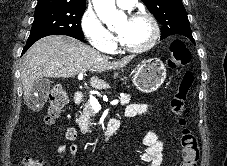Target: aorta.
Here are the masks:
<instances>
[{
  "mask_svg": "<svg viewBox=\"0 0 227 166\" xmlns=\"http://www.w3.org/2000/svg\"><path fill=\"white\" fill-rule=\"evenodd\" d=\"M92 2L99 19L108 27L126 20L124 12L116 9L115 0H92Z\"/></svg>",
  "mask_w": 227,
  "mask_h": 166,
  "instance_id": "aorta-1",
  "label": "aorta"
}]
</instances>
